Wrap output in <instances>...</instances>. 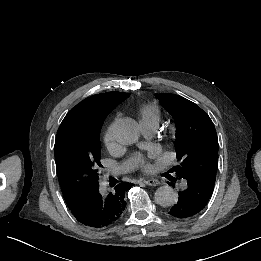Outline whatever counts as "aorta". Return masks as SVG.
<instances>
[{
	"label": "aorta",
	"mask_w": 261,
	"mask_h": 261,
	"mask_svg": "<svg viewBox=\"0 0 261 261\" xmlns=\"http://www.w3.org/2000/svg\"><path fill=\"white\" fill-rule=\"evenodd\" d=\"M138 124L131 118H121L114 126V138L122 145H131L139 138ZM157 204L163 207L175 205L178 196L174 189L168 185L159 187L154 195Z\"/></svg>",
	"instance_id": "aorta-1"
}]
</instances>
